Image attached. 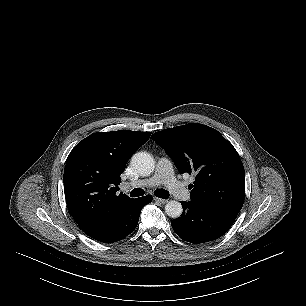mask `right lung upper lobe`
<instances>
[{
	"mask_svg": "<svg viewBox=\"0 0 306 306\" xmlns=\"http://www.w3.org/2000/svg\"><path fill=\"white\" fill-rule=\"evenodd\" d=\"M150 132L119 130L93 133L70 152L63 182L68 210L92 235L107 226L132 199L117 194L120 175Z\"/></svg>",
	"mask_w": 306,
	"mask_h": 306,
	"instance_id": "cb5924a9",
	"label": "right lung upper lobe"
}]
</instances>
